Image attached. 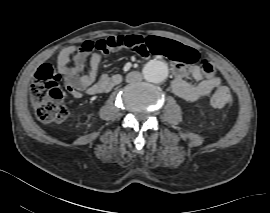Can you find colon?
<instances>
[{"label":"colon","mask_w":270,"mask_h":213,"mask_svg":"<svg viewBox=\"0 0 270 213\" xmlns=\"http://www.w3.org/2000/svg\"><path fill=\"white\" fill-rule=\"evenodd\" d=\"M138 47L144 48L146 43L138 36H127L128 47L136 52ZM147 44L158 46L161 50L167 49L160 44L158 39L151 38ZM202 69L206 74L211 73L212 66L208 60L203 61ZM69 75V73H66ZM60 75L55 73L49 64H41L34 75L31 86V99L35 106L36 115L39 120L46 123H59L64 121L69 115V108L64 100V94L59 86ZM232 101V93L227 84H221L211 97V105L221 108Z\"/></svg>","instance_id":"1"}]
</instances>
